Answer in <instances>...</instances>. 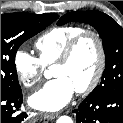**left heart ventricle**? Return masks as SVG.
<instances>
[{
    "instance_id": "1",
    "label": "left heart ventricle",
    "mask_w": 123,
    "mask_h": 123,
    "mask_svg": "<svg viewBox=\"0 0 123 123\" xmlns=\"http://www.w3.org/2000/svg\"><path fill=\"white\" fill-rule=\"evenodd\" d=\"M97 62V45L92 38L87 37L80 43L67 64L53 67V76L67 78L76 90L90 81L95 73Z\"/></svg>"
}]
</instances>
